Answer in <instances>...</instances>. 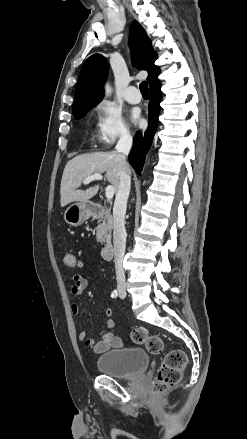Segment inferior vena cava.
I'll return each mask as SVG.
<instances>
[{
  "label": "inferior vena cava",
  "instance_id": "inferior-vena-cava-1",
  "mask_svg": "<svg viewBox=\"0 0 247 439\" xmlns=\"http://www.w3.org/2000/svg\"><path fill=\"white\" fill-rule=\"evenodd\" d=\"M132 147V137L128 131H124L116 145L121 165L120 184L116 194L113 207V244H114V262L116 270L117 288L125 289V273L123 269V259L126 248V230L124 225V216L126 213L127 200L130 193L131 178L129 166L126 162V155L129 154Z\"/></svg>",
  "mask_w": 247,
  "mask_h": 439
}]
</instances>
